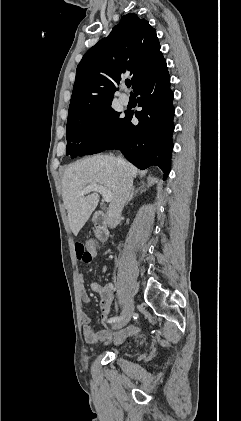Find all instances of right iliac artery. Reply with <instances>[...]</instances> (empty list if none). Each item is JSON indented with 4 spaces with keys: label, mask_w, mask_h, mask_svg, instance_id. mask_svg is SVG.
Returning a JSON list of instances; mask_svg holds the SVG:
<instances>
[{
    "label": "right iliac artery",
    "mask_w": 241,
    "mask_h": 421,
    "mask_svg": "<svg viewBox=\"0 0 241 421\" xmlns=\"http://www.w3.org/2000/svg\"><path fill=\"white\" fill-rule=\"evenodd\" d=\"M123 318V316H116V317H112L108 320L109 323H114L117 322L119 320H121Z\"/></svg>",
    "instance_id": "obj_1"
}]
</instances>
